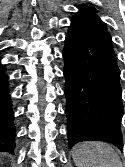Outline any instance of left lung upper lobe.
Here are the masks:
<instances>
[{"mask_svg": "<svg viewBox=\"0 0 125 167\" xmlns=\"http://www.w3.org/2000/svg\"><path fill=\"white\" fill-rule=\"evenodd\" d=\"M96 9L91 6L82 5L80 7V12L77 13L74 17L86 16V15H94Z\"/></svg>", "mask_w": 125, "mask_h": 167, "instance_id": "obj_1", "label": "left lung upper lobe"}]
</instances>
